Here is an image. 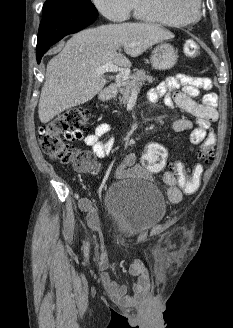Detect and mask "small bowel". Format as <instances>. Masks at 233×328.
Instances as JSON below:
<instances>
[{"mask_svg": "<svg viewBox=\"0 0 233 328\" xmlns=\"http://www.w3.org/2000/svg\"><path fill=\"white\" fill-rule=\"evenodd\" d=\"M211 80L207 77L190 76L178 74L161 81L157 86L148 92V99L156 102L163 98L164 104L169 107H178L183 111L193 115L196 120L194 125L186 119H178L173 122L171 128L174 132H189L190 143L197 145L202 143L207 137V131L212 122L218 120L217 96L213 92H208L202 103L194 100L201 90L210 91ZM110 131L108 123H100L93 133L84 138L86 146L100 158L106 157L113 146L111 137L104 138ZM116 175L120 179H140L148 178L149 172L140 164L138 157L134 153L125 155L120 162ZM163 181L167 185V196L172 203H179L183 193L178 186V180L171 171L164 173ZM82 211L87 213L88 222L92 227H99V218L96 210L88 198H80L78 201ZM129 274L136 278L133 292L129 293L125 284L114 280L107 271L101 273V281L104 289L109 293L111 299L124 305L134 304L143 299L150 289V277L144 263L136 259L129 266Z\"/></svg>", "mask_w": 233, "mask_h": 328, "instance_id": "obj_1", "label": "small bowel"}]
</instances>
